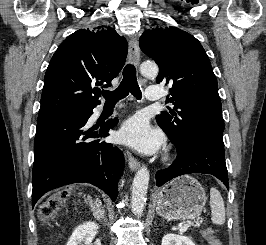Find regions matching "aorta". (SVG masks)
Masks as SVG:
<instances>
[{"label":"aorta","mask_w":266,"mask_h":245,"mask_svg":"<svg viewBox=\"0 0 266 245\" xmlns=\"http://www.w3.org/2000/svg\"><path fill=\"white\" fill-rule=\"evenodd\" d=\"M142 74H152L156 76L158 74V66H142ZM150 181V175L147 167H141L138 173H136L131 191V209L134 215H142L143 209L146 203V195L148 191V185Z\"/></svg>","instance_id":"aorta-1"}]
</instances>
